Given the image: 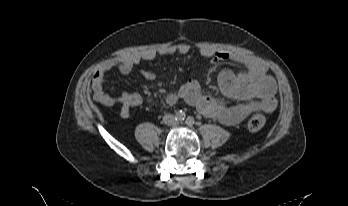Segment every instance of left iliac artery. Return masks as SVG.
Segmentation results:
<instances>
[{
  "label": "left iliac artery",
  "instance_id": "1",
  "mask_svg": "<svg viewBox=\"0 0 348 206\" xmlns=\"http://www.w3.org/2000/svg\"><path fill=\"white\" fill-rule=\"evenodd\" d=\"M188 121H189V122H191V121H192V119H191V118H188Z\"/></svg>",
  "mask_w": 348,
  "mask_h": 206
}]
</instances>
